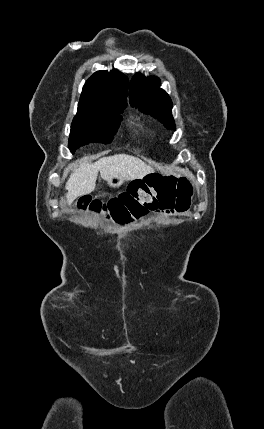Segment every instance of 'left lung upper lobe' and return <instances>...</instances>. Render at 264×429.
Masks as SVG:
<instances>
[{
	"mask_svg": "<svg viewBox=\"0 0 264 429\" xmlns=\"http://www.w3.org/2000/svg\"><path fill=\"white\" fill-rule=\"evenodd\" d=\"M158 78H145L136 74L130 83V103L140 111L150 114L161 121L166 128L175 129L172 117V101L168 94L159 88Z\"/></svg>",
	"mask_w": 264,
	"mask_h": 429,
	"instance_id": "5c2ea615",
	"label": "left lung upper lobe"
}]
</instances>
